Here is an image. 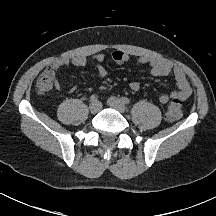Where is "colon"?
<instances>
[{"label": "colon", "mask_w": 216, "mask_h": 216, "mask_svg": "<svg viewBox=\"0 0 216 216\" xmlns=\"http://www.w3.org/2000/svg\"><path fill=\"white\" fill-rule=\"evenodd\" d=\"M55 74L52 71L46 70L38 78L36 83V91L39 94H46L53 88ZM183 113V103L179 99H174L166 110V118L170 121H176L181 118Z\"/></svg>", "instance_id": "obj_1"}]
</instances>
